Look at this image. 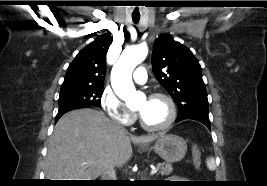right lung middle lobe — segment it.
I'll list each match as a JSON object with an SVG mask.
<instances>
[{
	"instance_id": "1",
	"label": "right lung middle lobe",
	"mask_w": 267,
	"mask_h": 186,
	"mask_svg": "<svg viewBox=\"0 0 267 186\" xmlns=\"http://www.w3.org/2000/svg\"><path fill=\"white\" fill-rule=\"evenodd\" d=\"M103 86H65L61 87L59 111L100 105Z\"/></svg>"
}]
</instances>
